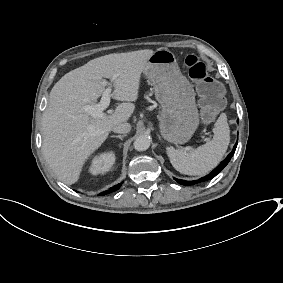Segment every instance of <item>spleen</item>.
I'll return each mask as SVG.
<instances>
[{
    "mask_svg": "<svg viewBox=\"0 0 283 283\" xmlns=\"http://www.w3.org/2000/svg\"><path fill=\"white\" fill-rule=\"evenodd\" d=\"M209 142L188 151L166 146V154L172 166L181 173L203 175L213 169L224 156L230 138L226 115L220 114Z\"/></svg>",
    "mask_w": 283,
    "mask_h": 283,
    "instance_id": "spleen-1",
    "label": "spleen"
}]
</instances>
